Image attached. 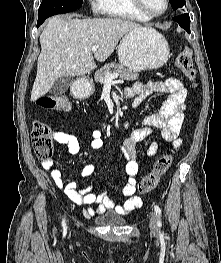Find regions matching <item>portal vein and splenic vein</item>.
<instances>
[{
  "label": "portal vein and splenic vein",
  "mask_w": 221,
  "mask_h": 263,
  "mask_svg": "<svg viewBox=\"0 0 221 263\" xmlns=\"http://www.w3.org/2000/svg\"><path fill=\"white\" fill-rule=\"evenodd\" d=\"M97 49H98V46L95 45V46H92L91 51L95 52L97 51ZM118 76H119L118 74H108L105 77V82L111 83L114 79L118 78Z\"/></svg>",
  "instance_id": "18ae733b"
}]
</instances>
